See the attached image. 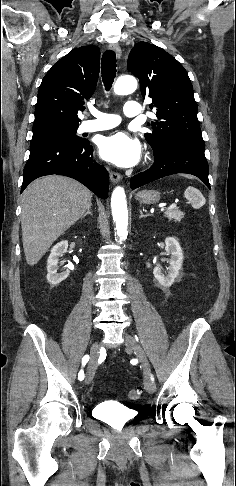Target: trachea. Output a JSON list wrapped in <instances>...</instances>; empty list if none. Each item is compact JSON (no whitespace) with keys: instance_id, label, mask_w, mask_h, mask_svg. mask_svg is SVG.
<instances>
[{"instance_id":"1","label":"trachea","mask_w":236,"mask_h":486,"mask_svg":"<svg viewBox=\"0 0 236 486\" xmlns=\"http://www.w3.org/2000/svg\"><path fill=\"white\" fill-rule=\"evenodd\" d=\"M116 71V54L112 50H107L103 53L101 61V74L106 91L111 89Z\"/></svg>"}]
</instances>
